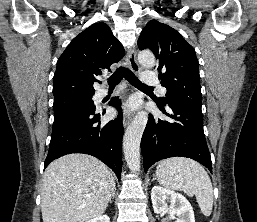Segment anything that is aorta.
Wrapping results in <instances>:
<instances>
[{
	"mask_svg": "<svg viewBox=\"0 0 257 222\" xmlns=\"http://www.w3.org/2000/svg\"><path fill=\"white\" fill-rule=\"evenodd\" d=\"M138 60L146 68H152L155 65L154 54L150 51H141L138 54ZM147 121L148 114L145 111L138 112L124 134V155L132 172H137L140 169V142Z\"/></svg>",
	"mask_w": 257,
	"mask_h": 222,
	"instance_id": "762f6f07",
	"label": "aorta"
}]
</instances>
